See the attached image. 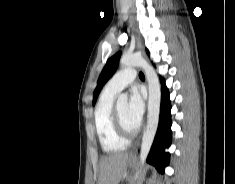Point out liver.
Listing matches in <instances>:
<instances>
[{"instance_id":"1","label":"liver","mask_w":235,"mask_h":184,"mask_svg":"<svg viewBox=\"0 0 235 184\" xmlns=\"http://www.w3.org/2000/svg\"><path fill=\"white\" fill-rule=\"evenodd\" d=\"M129 154L117 152L110 156H102L99 162V184H119L126 176Z\"/></svg>"}]
</instances>
